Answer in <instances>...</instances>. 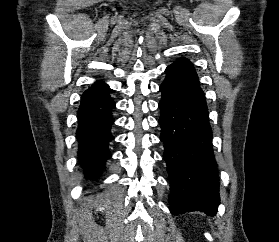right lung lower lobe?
I'll return each mask as SVG.
<instances>
[{"label":"right lung lower lobe","mask_w":279,"mask_h":242,"mask_svg":"<svg viewBox=\"0 0 279 242\" xmlns=\"http://www.w3.org/2000/svg\"><path fill=\"white\" fill-rule=\"evenodd\" d=\"M114 108L107 85L81 97L77 112L78 161L86 179L101 177L106 161L111 158L109 145L114 139L111 132Z\"/></svg>","instance_id":"obj_1"}]
</instances>
